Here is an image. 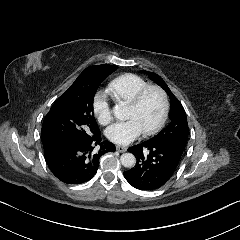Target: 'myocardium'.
Returning a JSON list of instances; mask_svg holds the SVG:
<instances>
[{
    "instance_id": "myocardium-1",
    "label": "myocardium",
    "mask_w": 240,
    "mask_h": 240,
    "mask_svg": "<svg viewBox=\"0 0 240 240\" xmlns=\"http://www.w3.org/2000/svg\"><path fill=\"white\" fill-rule=\"evenodd\" d=\"M150 91H155L159 94L160 99H161L162 110H161L160 119L157 122V124L149 130L142 131V133L146 136H151V135L158 133L163 128V126L167 120L168 112H169V101H168L166 92L159 86L148 85L146 87L141 88L136 93L133 100L129 104L126 105V107L129 109H136L141 104L144 96Z\"/></svg>"
}]
</instances>
